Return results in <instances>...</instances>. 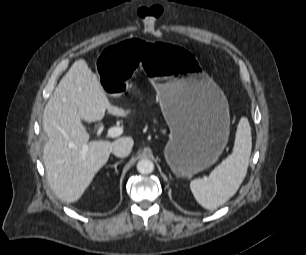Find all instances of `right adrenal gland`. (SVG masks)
<instances>
[{
  "label": "right adrenal gland",
  "mask_w": 306,
  "mask_h": 255,
  "mask_svg": "<svg viewBox=\"0 0 306 255\" xmlns=\"http://www.w3.org/2000/svg\"><path fill=\"white\" fill-rule=\"evenodd\" d=\"M122 163V160L116 162L114 165H109L108 167L114 168L115 172L118 173L117 166Z\"/></svg>",
  "instance_id": "right-adrenal-gland-1"
}]
</instances>
